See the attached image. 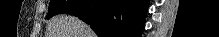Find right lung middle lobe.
<instances>
[{
  "label": "right lung middle lobe",
  "instance_id": "1",
  "mask_svg": "<svg viewBox=\"0 0 219 37\" xmlns=\"http://www.w3.org/2000/svg\"><path fill=\"white\" fill-rule=\"evenodd\" d=\"M80 1L81 0H51L46 18L50 19L57 14L64 13L68 8L76 5Z\"/></svg>",
  "mask_w": 219,
  "mask_h": 37
}]
</instances>
